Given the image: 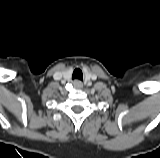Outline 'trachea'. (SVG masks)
<instances>
[{"mask_svg": "<svg viewBox=\"0 0 160 158\" xmlns=\"http://www.w3.org/2000/svg\"><path fill=\"white\" fill-rule=\"evenodd\" d=\"M72 79L83 80V73H82L81 69L76 68L73 71Z\"/></svg>", "mask_w": 160, "mask_h": 158, "instance_id": "1", "label": "trachea"}]
</instances>
